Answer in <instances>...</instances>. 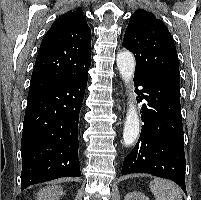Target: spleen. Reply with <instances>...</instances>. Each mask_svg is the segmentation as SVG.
<instances>
[{
  "mask_svg": "<svg viewBox=\"0 0 201 200\" xmlns=\"http://www.w3.org/2000/svg\"><path fill=\"white\" fill-rule=\"evenodd\" d=\"M150 190L156 200H182L180 189L170 181L155 179L150 182Z\"/></svg>",
  "mask_w": 201,
  "mask_h": 200,
  "instance_id": "1",
  "label": "spleen"
}]
</instances>
